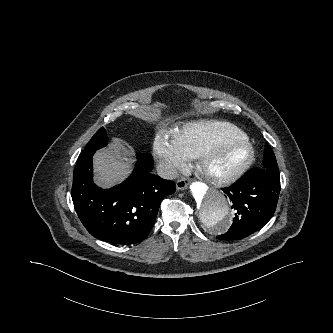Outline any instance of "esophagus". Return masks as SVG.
<instances>
[{
	"label": "esophagus",
	"mask_w": 333,
	"mask_h": 333,
	"mask_svg": "<svg viewBox=\"0 0 333 333\" xmlns=\"http://www.w3.org/2000/svg\"><path fill=\"white\" fill-rule=\"evenodd\" d=\"M176 187L178 190H185L187 188V182L185 179H179L176 182Z\"/></svg>",
	"instance_id": "34e87169"
}]
</instances>
